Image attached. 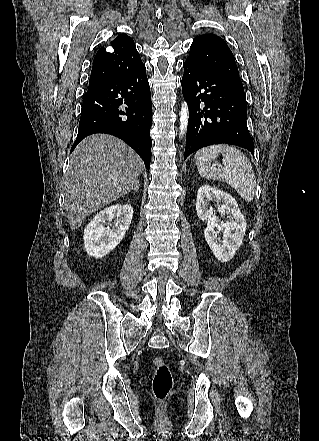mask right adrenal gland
Wrapping results in <instances>:
<instances>
[{
  "mask_svg": "<svg viewBox=\"0 0 319 441\" xmlns=\"http://www.w3.org/2000/svg\"><path fill=\"white\" fill-rule=\"evenodd\" d=\"M133 190H135L136 192L139 191V181H137V183H136V185H135Z\"/></svg>",
  "mask_w": 319,
  "mask_h": 441,
  "instance_id": "obj_1",
  "label": "right adrenal gland"
}]
</instances>
